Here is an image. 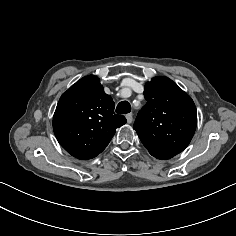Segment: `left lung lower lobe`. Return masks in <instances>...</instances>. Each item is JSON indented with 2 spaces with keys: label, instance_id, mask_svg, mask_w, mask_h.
I'll use <instances>...</instances> for the list:
<instances>
[{
  "label": "left lung lower lobe",
  "instance_id": "1",
  "mask_svg": "<svg viewBox=\"0 0 236 236\" xmlns=\"http://www.w3.org/2000/svg\"><path fill=\"white\" fill-rule=\"evenodd\" d=\"M156 158L165 160V159H169L170 157L158 156V157H156Z\"/></svg>",
  "mask_w": 236,
  "mask_h": 236
}]
</instances>
